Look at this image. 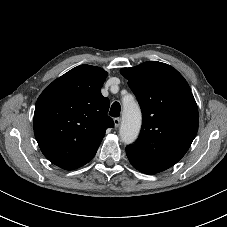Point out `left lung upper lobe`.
<instances>
[{"label": "left lung upper lobe", "instance_id": "5c2ea615", "mask_svg": "<svg viewBox=\"0 0 227 227\" xmlns=\"http://www.w3.org/2000/svg\"><path fill=\"white\" fill-rule=\"evenodd\" d=\"M120 73L136 95L142 110V128L136 142L126 147L138 170L158 173L176 164L194 140L198 108L183 76L168 64L147 61Z\"/></svg>", "mask_w": 227, "mask_h": 227}]
</instances>
